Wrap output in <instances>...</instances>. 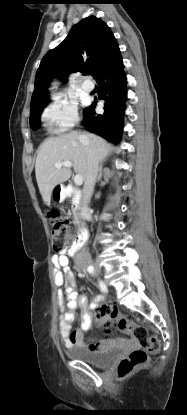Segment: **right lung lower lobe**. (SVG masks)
Returning <instances> with one entry per match:
<instances>
[{"mask_svg": "<svg viewBox=\"0 0 187 415\" xmlns=\"http://www.w3.org/2000/svg\"><path fill=\"white\" fill-rule=\"evenodd\" d=\"M120 53L97 76L96 82L102 90L99 99L104 100V113L96 114L95 100L84 110L82 125L86 130L94 132L114 144L120 140L123 128V115L127 99L126 75L123 71Z\"/></svg>", "mask_w": 187, "mask_h": 415, "instance_id": "right-lung-lower-lobe-1", "label": "right lung lower lobe"}]
</instances>
